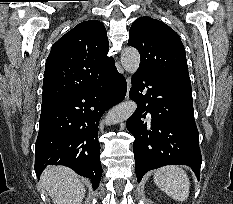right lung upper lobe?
I'll return each mask as SVG.
<instances>
[{"mask_svg":"<svg viewBox=\"0 0 233 204\" xmlns=\"http://www.w3.org/2000/svg\"><path fill=\"white\" fill-rule=\"evenodd\" d=\"M108 39L104 25L84 21L62 36L47 58L42 105L60 100L100 81L115 65L108 57Z\"/></svg>","mask_w":233,"mask_h":204,"instance_id":"right-lung-upper-lobe-1","label":"right lung upper lobe"}]
</instances>
